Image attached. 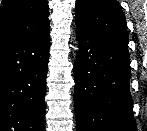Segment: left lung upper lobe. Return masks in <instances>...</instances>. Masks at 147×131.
Returning a JSON list of instances; mask_svg holds the SVG:
<instances>
[{
    "label": "left lung upper lobe",
    "mask_w": 147,
    "mask_h": 131,
    "mask_svg": "<svg viewBox=\"0 0 147 131\" xmlns=\"http://www.w3.org/2000/svg\"><path fill=\"white\" fill-rule=\"evenodd\" d=\"M75 14L76 23L128 47L126 19L117 0H77Z\"/></svg>",
    "instance_id": "5c2ea615"
}]
</instances>
